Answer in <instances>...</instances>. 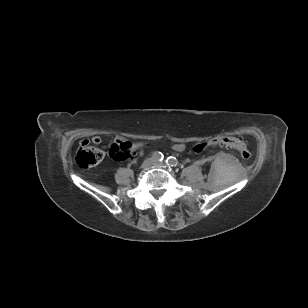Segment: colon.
Listing matches in <instances>:
<instances>
[{
	"label": "colon",
	"mask_w": 308,
	"mask_h": 308,
	"mask_svg": "<svg viewBox=\"0 0 308 308\" xmlns=\"http://www.w3.org/2000/svg\"><path fill=\"white\" fill-rule=\"evenodd\" d=\"M152 148L154 143L152 141L132 139L130 144L123 140L117 139L111 146L110 155L115 161H124L130 159L133 151H139L141 147ZM210 146H224L229 149L236 150L240 153L242 158L249 159L251 157L250 151L247 149L245 143L239 138L232 136L214 137L203 143H199L193 147L195 153L203 151ZM103 152L90 145L88 140H82L76 153V163L81 168H90L98 165L103 160Z\"/></svg>",
	"instance_id": "5ec220e1"
}]
</instances>
